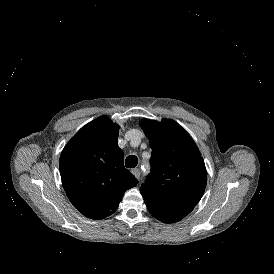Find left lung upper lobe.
Here are the masks:
<instances>
[{"instance_id": "1", "label": "left lung upper lobe", "mask_w": 274, "mask_h": 274, "mask_svg": "<svg viewBox=\"0 0 274 274\" xmlns=\"http://www.w3.org/2000/svg\"><path fill=\"white\" fill-rule=\"evenodd\" d=\"M152 148L151 173L140 187L148 197L172 209L190 213L203 196L207 172L187 131L172 119L140 122Z\"/></svg>"}]
</instances>
